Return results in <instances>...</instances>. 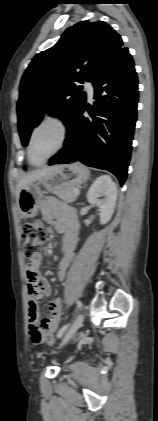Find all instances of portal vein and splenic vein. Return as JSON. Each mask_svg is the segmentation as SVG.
<instances>
[{"instance_id": "1", "label": "portal vein and splenic vein", "mask_w": 158, "mask_h": 421, "mask_svg": "<svg viewBox=\"0 0 158 421\" xmlns=\"http://www.w3.org/2000/svg\"><path fill=\"white\" fill-rule=\"evenodd\" d=\"M74 194L78 195L79 194V190L78 189H74Z\"/></svg>"}]
</instances>
